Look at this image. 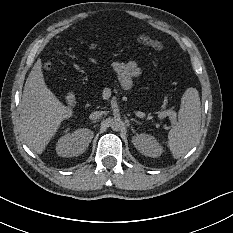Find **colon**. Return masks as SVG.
<instances>
[{"instance_id":"colon-1","label":"colon","mask_w":233,"mask_h":233,"mask_svg":"<svg viewBox=\"0 0 233 233\" xmlns=\"http://www.w3.org/2000/svg\"><path fill=\"white\" fill-rule=\"evenodd\" d=\"M141 41H145L146 43L148 44H151L153 45L154 47L156 48H160L161 45L157 42H154V41H151L150 39L146 40V39H141ZM44 67L47 69V70H52L53 69V64L51 62H47L44 64Z\"/></svg>"}]
</instances>
